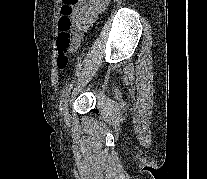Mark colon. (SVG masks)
I'll return each instance as SVG.
<instances>
[{
	"label": "colon",
	"instance_id": "obj_1",
	"mask_svg": "<svg viewBox=\"0 0 207 179\" xmlns=\"http://www.w3.org/2000/svg\"><path fill=\"white\" fill-rule=\"evenodd\" d=\"M80 0H63L61 6V16L58 20V35L56 45L58 48L57 66L63 70L68 65L67 51L73 46V36L71 33L72 20L71 17Z\"/></svg>",
	"mask_w": 207,
	"mask_h": 179
}]
</instances>
